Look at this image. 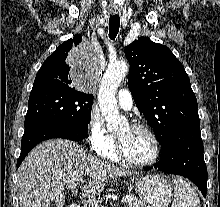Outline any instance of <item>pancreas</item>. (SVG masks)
I'll list each match as a JSON object with an SVG mask.
<instances>
[{
	"label": "pancreas",
	"instance_id": "pancreas-1",
	"mask_svg": "<svg viewBox=\"0 0 220 207\" xmlns=\"http://www.w3.org/2000/svg\"><path fill=\"white\" fill-rule=\"evenodd\" d=\"M98 205L99 207H104L101 204ZM126 207H146V205L138 198H133L131 201L127 202Z\"/></svg>",
	"mask_w": 220,
	"mask_h": 207
}]
</instances>
